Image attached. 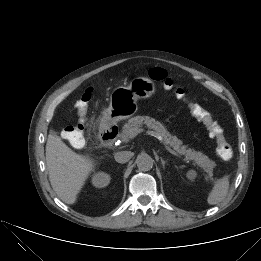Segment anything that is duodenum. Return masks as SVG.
I'll use <instances>...</instances> for the list:
<instances>
[{
  "label": "duodenum",
  "instance_id": "obj_1",
  "mask_svg": "<svg viewBox=\"0 0 261 261\" xmlns=\"http://www.w3.org/2000/svg\"><path fill=\"white\" fill-rule=\"evenodd\" d=\"M118 136V128L116 126H108L101 130L100 139L103 145L111 147L114 145Z\"/></svg>",
  "mask_w": 261,
  "mask_h": 261
}]
</instances>
